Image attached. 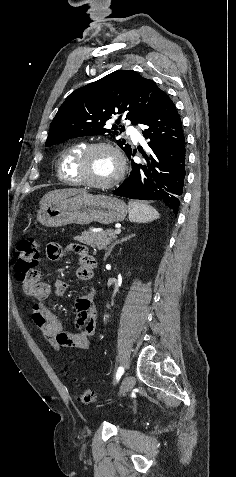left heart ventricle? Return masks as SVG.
I'll return each instance as SVG.
<instances>
[{
    "label": "left heart ventricle",
    "instance_id": "1",
    "mask_svg": "<svg viewBox=\"0 0 236 477\" xmlns=\"http://www.w3.org/2000/svg\"><path fill=\"white\" fill-rule=\"evenodd\" d=\"M118 162L108 149H96L90 153L85 165V176L94 182H106L117 173Z\"/></svg>",
    "mask_w": 236,
    "mask_h": 477
}]
</instances>
